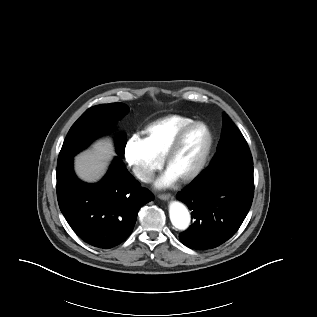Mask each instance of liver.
<instances>
[{
  "mask_svg": "<svg viewBox=\"0 0 317 317\" xmlns=\"http://www.w3.org/2000/svg\"><path fill=\"white\" fill-rule=\"evenodd\" d=\"M115 155L110 140H100L91 150L84 151L76 156L74 168L76 174L84 181L94 182L106 171L109 161Z\"/></svg>",
  "mask_w": 317,
  "mask_h": 317,
  "instance_id": "6515ba94",
  "label": "liver"
}]
</instances>
